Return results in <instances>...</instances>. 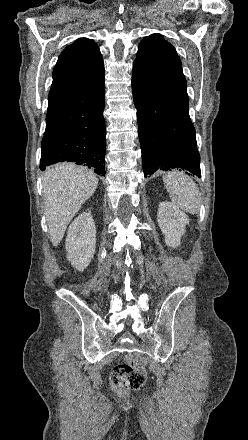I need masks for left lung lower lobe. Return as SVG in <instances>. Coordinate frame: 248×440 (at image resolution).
Instances as JSON below:
<instances>
[{
  "mask_svg": "<svg viewBox=\"0 0 248 440\" xmlns=\"http://www.w3.org/2000/svg\"><path fill=\"white\" fill-rule=\"evenodd\" d=\"M133 99L145 177L183 168L201 177L200 155L189 107L132 73Z\"/></svg>",
  "mask_w": 248,
  "mask_h": 440,
  "instance_id": "1",
  "label": "left lung lower lobe"
}]
</instances>
